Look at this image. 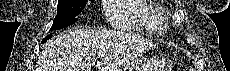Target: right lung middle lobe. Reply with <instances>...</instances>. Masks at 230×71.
Here are the masks:
<instances>
[{
	"instance_id": "1",
	"label": "right lung middle lobe",
	"mask_w": 230,
	"mask_h": 71,
	"mask_svg": "<svg viewBox=\"0 0 230 71\" xmlns=\"http://www.w3.org/2000/svg\"><path fill=\"white\" fill-rule=\"evenodd\" d=\"M92 3L94 0H89ZM87 0H58L57 16L51 30H59L76 22L75 18L86 6Z\"/></svg>"
}]
</instances>
